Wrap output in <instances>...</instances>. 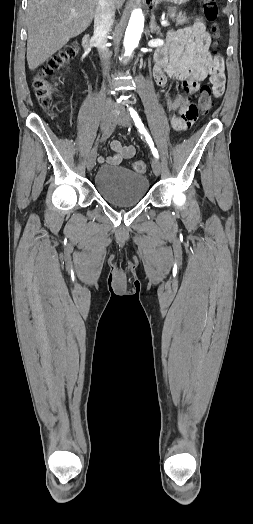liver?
Segmentation results:
<instances>
[{
    "mask_svg": "<svg viewBox=\"0 0 253 524\" xmlns=\"http://www.w3.org/2000/svg\"><path fill=\"white\" fill-rule=\"evenodd\" d=\"M124 1L114 0L115 8H121ZM97 4L98 0H28L29 69H37L71 38L84 32L95 16Z\"/></svg>",
    "mask_w": 253,
    "mask_h": 524,
    "instance_id": "obj_1",
    "label": "liver"
}]
</instances>
